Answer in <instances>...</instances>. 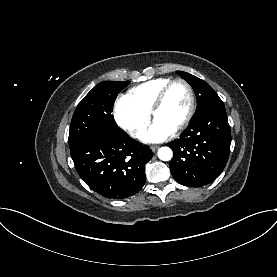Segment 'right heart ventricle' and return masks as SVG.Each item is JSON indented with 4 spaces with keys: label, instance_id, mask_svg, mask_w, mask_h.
Masks as SVG:
<instances>
[{
    "label": "right heart ventricle",
    "instance_id": "obj_1",
    "mask_svg": "<svg viewBox=\"0 0 277 277\" xmlns=\"http://www.w3.org/2000/svg\"><path fill=\"white\" fill-rule=\"evenodd\" d=\"M171 81L170 78H156L132 87L127 97L143 113H150V109L161 89Z\"/></svg>",
    "mask_w": 277,
    "mask_h": 277
}]
</instances>
